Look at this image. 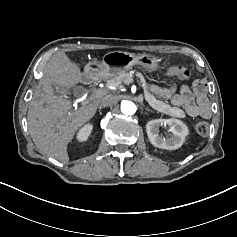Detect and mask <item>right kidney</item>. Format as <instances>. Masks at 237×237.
Here are the masks:
<instances>
[{"label":"right kidney","instance_id":"right-kidney-1","mask_svg":"<svg viewBox=\"0 0 237 237\" xmlns=\"http://www.w3.org/2000/svg\"><path fill=\"white\" fill-rule=\"evenodd\" d=\"M92 129H93L92 124H86L77 133V140L80 142L86 141L89 135L91 134Z\"/></svg>","mask_w":237,"mask_h":237}]
</instances>
